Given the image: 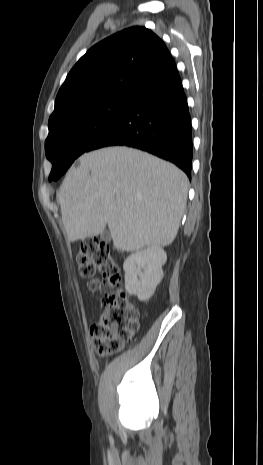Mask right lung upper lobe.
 I'll return each instance as SVG.
<instances>
[{
    "mask_svg": "<svg viewBox=\"0 0 263 465\" xmlns=\"http://www.w3.org/2000/svg\"><path fill=\"white\" fill-rule=\"evenodd\" d=\"M177 70L163 41L145 27L120 31L79 59L61 86L49 120L83 103L107 97H134Z\"/></svg>",
    "mask_w": 263,
    "mask_h": 465,
    "instance_id": "cb5924a9",
    "label": "right lung upper lobe"
}]
</instances>
